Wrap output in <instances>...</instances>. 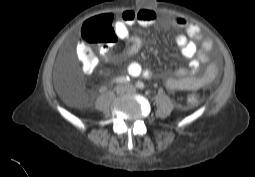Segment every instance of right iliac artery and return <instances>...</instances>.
Returning <instances> with one entry per match:
<instances>
[{"instance_id": "82829eb1", "label": "right iliac artery", "mask_w": 255, "mask_h": 177, "mask_svg": "<svg viewBox=\"0 0 255 177\" xmlns=\"http://www.w3.org/2000/svg\"><path fill=\"white\" fill-rule=\"evenodd\" d=\"M116 83H128V82H130V78L128 77V76H126V77H118V78H116Z\"/></svg>"}]
</instances>
